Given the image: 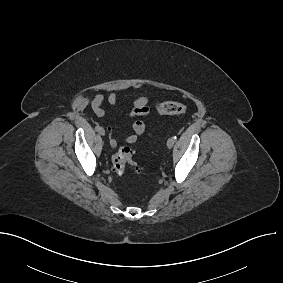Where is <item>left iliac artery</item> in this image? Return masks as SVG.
Here are the masks:
<instances>
[{
  "mask_svg": "<svg viewBox=\"0 0 283 283\" xmlns=\"http://www.w3.org/2000/svg\"><path fill=\"white\" fill-rule=\"evenodd\" d=\"M173 138H174L175 140L177 139V137H176V136H174Z\"/></svg>",
  "mask_w": 283,
  "mask_h": 283,
  "instance_id": "1",
  "label": "left iliac artery"
}]
</instances>
